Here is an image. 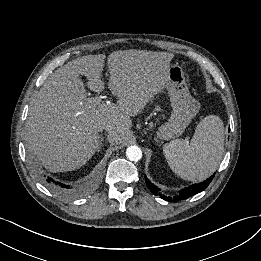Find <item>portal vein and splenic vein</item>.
Returning <instances> with one entry per match:
<instances>
[{
    "mask_svg": "<svg viewBox=\"0 0 261 261\" xmlns=\"http://www.w3.org/2000/svg\"><path fill=\"white\" fill-rule=\"evenodd\" d=\"M101 98L100 97H94V98H88L87 104L89 107H96L101 104Z\"/></svg>",
    "mask_w": 261,
    "mask_h": 261,
    "instance_id": "portal-vein-and-splenic-vein-1",
    "label": "portal vein and splenic vein"
}]
</instances>
